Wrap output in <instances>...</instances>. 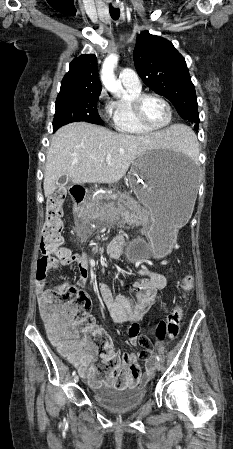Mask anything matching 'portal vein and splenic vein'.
I'll use <instances>...</instances> for the list:
<instances>
[{"label":"portal vein and splenic vein","mask_w":233,"mask_h":449,"mask_svg":"<svg viewBox=\"0 0 233 449\" xmlns=\"http://www.w3.org/2000/svg\"><path fill=\"white\" fill-rule=\"evenodd\" d=\"M105 160H106L107 162H109V161L111 160V155H107Z\"/></svg>","instance_id":"obj_1"}]
</instances>
